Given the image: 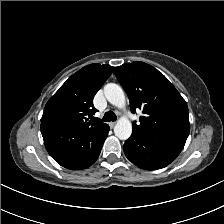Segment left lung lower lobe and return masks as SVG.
<instances>
[{"instance_id":"obj_1","label":"left lung lower lobe","mask_w":224,"mask_h":224,"mask_svg":"<svg viewBox=\"0 0 224 224\" xmlns=\"http://www.w3.org/2000/svg\"><path fill=\"white\" fill-rule=\"evenodd\" d=\"M184 145L164 136L133 130L131 137L125 141L124 153L136 166L156 170L169 165Z\"/></svg>"}]
</instances>
